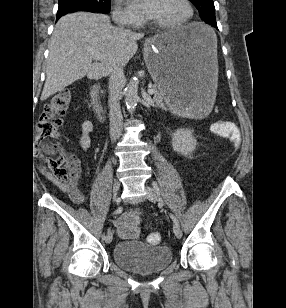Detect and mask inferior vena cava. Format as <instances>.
I'll return each mask as SVG.
<instances>
[{
	"label": "inferior vena cava",
	"instance_id": "602c4592",
	"mask_svg": "<svg viewBox=\"0 0 286 308\" xmlns=\"http://www.w3.org/2000/svg\"><path fill=\"white\" fill-rule=\"evenodd\" d=\"M125 81L123 67L116 66L109 77V120L111 141L119 139L122 128V113L120 108V94Z\"/></svg>",
	"mask_w": 286,
	"mask_h": 308
}]
</instances>
